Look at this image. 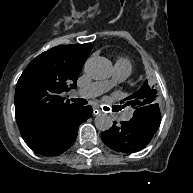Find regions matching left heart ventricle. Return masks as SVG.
<instances>
[{"mask_svg":"<svg viewBox=\"0 0 193 193\" xmlns=\"http://www.w3.org/2000/svg\"><path fill=\"white\" fill-rule=\"evenodd\" d=\"M115 82V75L111 74L107 79H105L103 83V87L106 89L112 88Z\"/></svg>","mask_w":193,"mask_h":193,"instance_id":"b2bd125f","label":"left heart ventricle"}]
</instances>
